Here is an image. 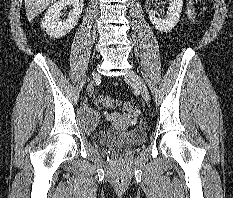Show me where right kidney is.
Masks as SVG:
<instances>
[{"instance_id":"obj_1","label":"right kidney","mask_w":233,"mask_h":198,"mask_svg":"<svg viewBox=\"0 0 233 198\" xmlns=\"http://www.w3.org/2000/svg\"><path fill=\"white\" fill-rule=\"evenodd\" d=\"M66 6H72L73 10L64 21L60 20L61 10ZM84 6V0H59L54 3L42 20V28L48 35L60 38L69 33L77 24Z\"/></svg>"}]
</instances>
